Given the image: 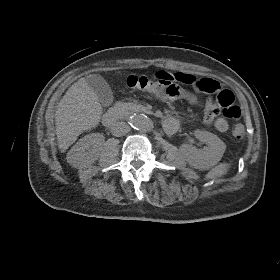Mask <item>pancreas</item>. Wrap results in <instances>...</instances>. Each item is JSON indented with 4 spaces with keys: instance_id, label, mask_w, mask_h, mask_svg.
I'll list each match as a JSON object with an SVG mask.
<instances>
[{
    "instance_id": "cf45deb5",
    "label": "pancreas",
    "mask_w": 280,
    "mask_h": 280,
    "mask_svg": "<svg viewBox=\"0 0 280 280\" xmlns=\"http://www.w3.org/2000/svg\"><path fill=\"white\" fill-rule=\"evenodd\" d=\"M131 105H132V103H119L118 105H117V107H120L121 108V110H124V109H126V108H128V107H131Z\"/></svg>"
}]
</instances>
